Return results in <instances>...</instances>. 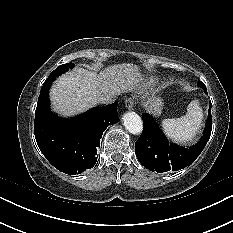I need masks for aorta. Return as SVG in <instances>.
<instances>
[{"label":"aorta","instance_id":"762f6f07","mask_svg":"<svg viewBox=\"0 0 233 233\" xmlns=\"http://www.w3.org/2000/svg\"><path fill=\"white\" fill-rule=\"evenodd\" d=\"M123 125L134 135H138L143 130V122L141 117L135 112H127L123 116Z\"/></svg>","mask_w":233,"mask_h":233}]
</instances>
